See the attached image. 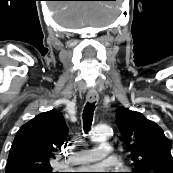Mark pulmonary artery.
<instances>
[{"instance_id":"e3ab8cb5","label":"pulmonary artery","mask_w":173,"mask_h":173,"mask_svg":"<svg viewBox=\"0 0 173 173\" xmlns=\"http://www.w3.org/2000/svg\"><path fill=\"white\" fill-rule=\"evenodd\" d=\"M112 153V146L107 142H102L97 148L84 149L75 152L67 160V165H86L97 162Z\"/></svg>"}]
</instances>
